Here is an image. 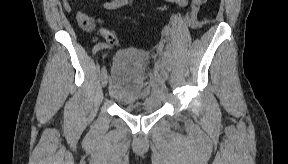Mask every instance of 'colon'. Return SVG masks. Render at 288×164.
Wrapping results in <instances>:
<instances>
[{
  "label": "colon",
  "instance_id": "obj_1",
  "mask_svg": "<svg viewBox=\"0 0 288 164\" xmlns=\"http://www.w3.org/2000/svg\"><path fill=\"white\" fill-rule=\"evenodd\" d=\"M97 35L101 39L111 43V46H116V44L118 43V38L116 34L105 26H101L98 28Z\"/></svg>",
  "mask_w": 288,
  "mask_h": 164
}]
</instances>
